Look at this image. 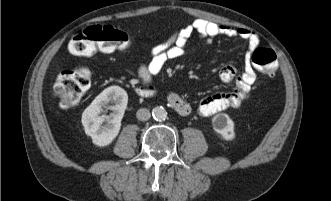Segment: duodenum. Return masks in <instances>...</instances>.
Instances as JSON below:
<instances>
[{
  "label": "duodenum",
  "mask_w": 331,
  "mask_h": 201,
  "mask_svg": "<svg viewBox=\"0 0 331 201\" xmlns=\"http://www.w3.org/2000/svg\"><path fill=\"white\" fill-rule=\"evenodd\" d=\"M135 92L137 95L142 96V97H149L152 95V93L149 90H147L145 88H141V87H137L135 89Z\"/></svg>",
  "instance_id": "1"
}]
</instances>
